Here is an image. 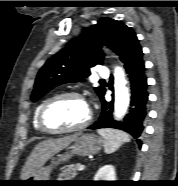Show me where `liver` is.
Wrapping results in <instances>:
<instances>
[{"label": "liver", "instance_id": "liver-1", "mask_svg": "<svg viewBox=\"0 0 178 186\" xmlns=\"http://www.w3.org/2000/svg\"><path fill=\"white\" fill-rule=\"evenodd\" d=\"M78 135H70L55 139H47L38 143L27 161L25 162L22 171L21 179L27 180L35 171L42 167L53 155L66 148L70 143L75 141Z\"/></svg>", "mask_w": 178, "mask_h": 186}]
</instances>
